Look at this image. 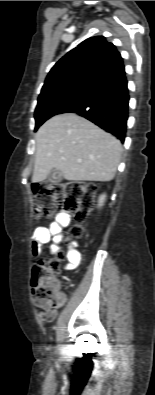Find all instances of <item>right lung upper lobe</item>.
<instances>
[{
	"label": "right lung upper lobe",
	"mask_w": 155,
	"mask_h": 395,
	"mask_svg": "<svg viewBox=\"0 0 155 395\" xmlns=\"http://www.w3.org/2000/svg\"><path fill=\"white\" fill-rule=\"evenodd\" d=\"M125 72L116 46L103 36L91 37L62 57L50 70L43 88L70 82L87 81L99 85Z\"/></svg>",
	"instance_id": "obj_1"
}]
</instances>
